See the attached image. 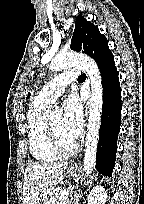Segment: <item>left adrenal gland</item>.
Returning a JSON list of instances; mask_svg holds the SVG:
<instances>
[{
    "mask_svg": "<svg viewBox=\"0 0 144 204\" xmlns=\"http://www.w3.org/2000/svg\"><path fill=\"white\" fill-rule=\"evenodd\" d=\"M79 196L77 194L74 195V201L77 202L78 201Z\"/></svg>",
    "mask_w": 144,
    "mask_h": 204,
    "instance_id": "a2214340",
    "label": "left adrenal gland"
}]
</instances>
